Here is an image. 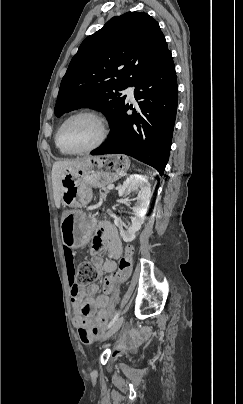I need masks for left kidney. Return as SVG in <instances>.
<instances>
[{
	"label": "left kidney",
	"mask_w": 243,
	"mask_h": 404,
	"mask_svg": "<svg viewBox=\"0 0 243 404\" xmlns=\"http://www.w3.org/2000/svg\"><path fill=\"white\" fill-rule=\"evenodd\" d=\"M131 192H138L136 198V204L132 208L134 212V218H131V224L127 230H123L120 220H114L115 226H118L120 230V236L124 242H133L136 238V232H139L142 224H144L145 214L149 208L151 200V186L145 178V176H139V174H133L130 178L125 180L122 188H120L119 196H127Z\"/></svg>",
	"instance_id": "1"
}]
</instances>
